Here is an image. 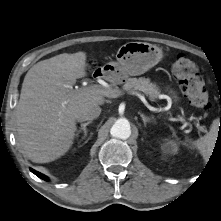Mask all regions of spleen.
Segmentation results:
<instances>
[{
    "instance_id": "3e777b00",
    "label": "spleen",
    "mask_w": 221,
    "mask_h": 221,
    "mask_svg": "<svg viewBox=\"0 0 221 221\" xmlns=\"http://www.w3.org/2000/svg\"><path fill=\"white\" fill-rule=\"evenodd\" d=\"M218 129V121L214 120L210 131L200 139L193 142V145L200 151L205 160H207L212 153L217 138Z\"/></svg>"
}]
</instances>
